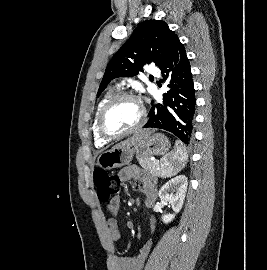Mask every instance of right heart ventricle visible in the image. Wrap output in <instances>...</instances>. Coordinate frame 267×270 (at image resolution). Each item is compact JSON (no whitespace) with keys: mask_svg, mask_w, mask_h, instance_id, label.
I'll return each mask as SVG.
<instances>
[{"mask_svg":"<svg viewBox=\"0 0 267 270\" xmlns=\"http://www.w3.org/2000/svg\"><path fill=\"white\" fill-rule=\"evenodd\" d=\"M116 94H118V88H114V89L108 91L104 95V97L99 101V103L97 105V108L95 110L93 123H92V133H93L94 143L98 147H103L108 143V141L102 139L100 137L99 133H98V130H97V117H98V114H99L101 108Z\"/></svg>","mask_w":267,"mask_h":270,"instance_id":"right-heart-ventricle-1","label":"right heart ventricle"}]
</instances>
